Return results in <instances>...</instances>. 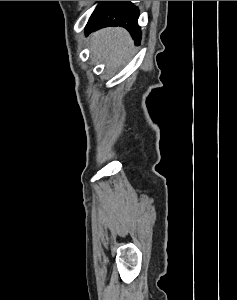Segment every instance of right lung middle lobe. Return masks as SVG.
<instances>
[{
  "label": "right lung middle lobe",
  "instance_id": "obj_1",
  "mask_svg": "<svg viewBox=\"0 0 237 300\" xmlns=\"http://www.w3.org/2000/svg\"><path fill=\"white\" fill-rule=\"evenodd\" d=\"M117 1H101V3L97 6L92 16L89 19L87 26L93 24L94 22L101 19L104 14L116 3Z\"/></svg>",
  "mask_w": 237,
  "mask_h": 300
}]
</instances>
